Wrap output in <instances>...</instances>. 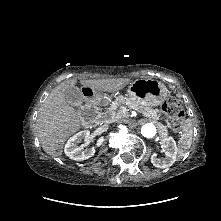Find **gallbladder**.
<instances>
[{
    "label": "gallbladder",
    "mask_w": 221,
    "mask_h": 221,
    "mask_svg": "<svg viewBox=\"0 0 221 221\" xmlns=\"http://www.w3.org/2000/svg\"><path fill=\"white\" fill-rule=\"evenodd\" d=\"M64 98L67 103L79 106L83 102V95L80 89L76 86H69L63 92Z\"/></svg>",
    "instance_id": "gallbladder-1"
}]
</instances>
